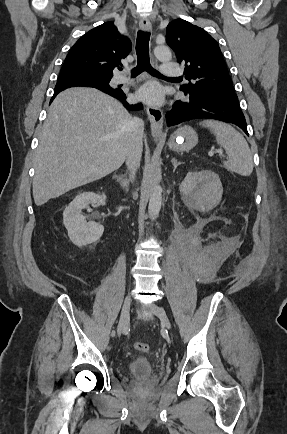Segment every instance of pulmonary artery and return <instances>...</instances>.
<instances>
[{
	"mask_svg": "<svg viewBox=\"0 0 287 434\" xmlns=\"http://www.w3.org/2000/svg\"><path fill=\"white\" fill-rule=\"evenodd\" d=\"M183 70L182 68L177 64L172 63H164L162 64V74L165 76H180L182 75ZM117 83H127L130 81V79L126 76L125 73H121L116 77Z\"/></svg>",
	"mask_w": 287,
	"mask_h": 434,
	"instance_id": "1",
	"label": "pulmonary artery"
}]
</instances>
